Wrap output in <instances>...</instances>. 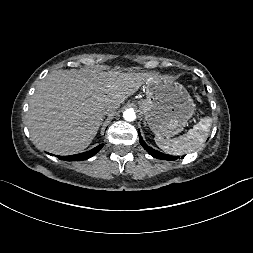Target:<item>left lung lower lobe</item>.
Instances as JSON below:
<instances>
[{
    "label": "left lung lower lobe",
    "instance_id": "left-lung-lower-lobe-1",
    "mask_svg": "<svg viewBox=\"0 0 253 253\" xmlns=\"http://www.w3.org/2000/svg\"><path fill=\"white\" fill-rule=\"evenodd\" d=\"M139 141L141 143V145L143 146V148L151 155L153 156L154 158H157V159H162V160H176L178 159V156H170V155H166V154H163L159 151H156L154 150L153 148L147 146L145 144V142L143 141L141 135H140V132H139Z\"/></svg>",
    "mask_w": 253,
    "mask_h": 253
}]
</instances>
